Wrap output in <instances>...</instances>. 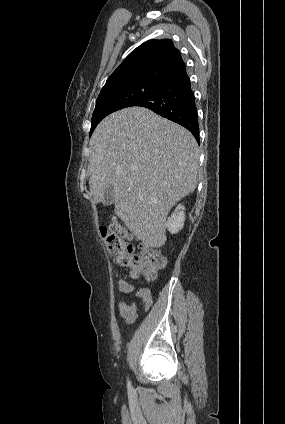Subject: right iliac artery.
<instances>
[{
    "mask_svg": "<svg viewBox=\"0 0 285 424\" xmlns=\"http://www.w3.org/2000/svg\"><path fill=\"white\" fill-rule=\"evenodd\" d=\"M127 387H128V389H129V390H131V389H132V386H131L130 381H128V383H127Z\"/></svg>",
    "mask_w": 285,
    "mask_h": 424,
    "instance_id": "obj_1",
    "label": "right iliac artery"
}]
</instances>
